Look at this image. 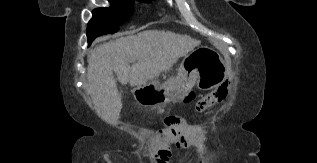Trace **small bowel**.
Returning <instances> with one entry per match:
<instances>
[{
	"instance_id": "c3829d8e",
	"label": "small bowel",
	"mask_w": 317,
	"mask_h": 163,
	"mask_svg": "<svg viewBox=\"0 0 317 163\" xmlns=\"http://www.w3.org/2000/svg\"><path fill=\"white\" fill-rule=\"evenodd\" d=\"M164 128L159 131L162 148L154 156V163H169L173 156V149H198L197 141L189 125L177 117H167ZM197 163H204L198 160Z\"/></svg>"
}]
</instances>
